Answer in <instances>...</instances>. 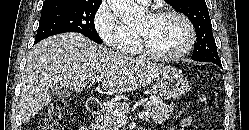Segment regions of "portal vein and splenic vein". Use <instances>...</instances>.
<instances>
[{
	"instance_id": "18ae733b",
	"label": "portal vein and splenic vein",
	"mask_w": 249,
	"mask_h": 130,
	"mask_svg": "<svg viewBox=\"0 0 249 130\" xmlns=\"http://www.w3.org/2000/svg\"><path fill=\"white\" fill-rule=\"evenodd\" d=\"M94 83H97V84H100L101 83V80L100 79H96V80H93ZM114 115L121 121V122H126L127 120V114L125 112H122L120 110H114ZM150 116L149 112L148 111H145V112H141L138 114V117L140 119H144V118H148Z\"/></svg>"
}]
</instances>
